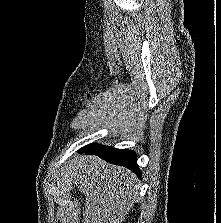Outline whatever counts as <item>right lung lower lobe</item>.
I'll return each instance as SVG.
<instances>
[{
	"label": "right lung lower lobe",
	"instance_id": "obj_1",
	"mask_svg": "<svg viewBox=\"0 0 221 223\" xmlns=\"http://www.w3.org/2000/svg\"><path fill=\"white\" fill-rule=\"evenodd\" d=\"M80 152L95 154L109 163L127 167L141 177V172L137 165V156L134 151L125 149H116L113 147L102 146L97 143L89 144L83 147Z\"/></svg>",
	"mask_w": 221,
	"mask_h": 223
}]
</instances>
